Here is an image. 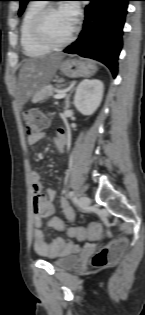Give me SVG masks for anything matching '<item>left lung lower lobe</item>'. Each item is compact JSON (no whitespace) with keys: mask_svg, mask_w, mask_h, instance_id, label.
<instances>
[{"mask_svg":"<svg viewBox=\"0 0 145 315\" xmlns=\"http://www.w3.org/2000/svg\"><path fill=\"white\" fill-rule=\"evenodd\" d=\"M88 1L92 3L85 8L84 28L78 39L64 52L98 60L109 67L115 77L122 48V30L130 0ZM93 11H96L95 21L90 24Z\"/></svg>","mask_w":145,"mask_h":315,"instance_id":"1","label":"left lung lower lobe"}]
</instances>
